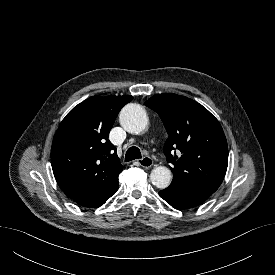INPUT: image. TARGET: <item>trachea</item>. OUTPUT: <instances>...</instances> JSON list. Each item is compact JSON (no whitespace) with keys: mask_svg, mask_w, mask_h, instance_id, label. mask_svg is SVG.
Returning <instances> with one entry per match:
<instances>
[{"mask_svg":"<svg viewBox=\"0 0 275 275\" xmlns=\"http://www.w3.org/2000/svg\"><path fill=\"white\" fill-rule=\"evenodd\" d=\"M141 157H142V155H141L140 149L138 147L133 146L127 150L126 155H125V162L139 159Z\"/></svg>","mask_w":275,"mask_h":275,"instance_id":"obj_1","label":"trachea"}]
</instances>
